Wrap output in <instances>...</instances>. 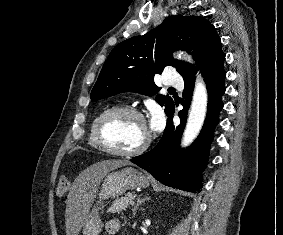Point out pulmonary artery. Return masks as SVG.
<instances>
[{"mask_svg": "<svg viewBox=\"0 0 283 235\" xmlns=\"http://www.w3.org/2000/svg\"><path fill=\"white\" fill-rule=\"evenodd\" d=\"M165 84L168 86L179 87L183 86V80L176 73H171L165 81Z\"/></svg>", "mask_w": 283, "mask_h": 235, "instance_id": "e3ab8cb5", "label": "pulmonary artery"}]
</instances>
